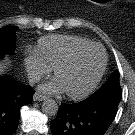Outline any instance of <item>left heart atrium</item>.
Here are the masks:
<instances>
[{
    "label": "left heart atrium",
    "instance_id": "left-heart-atrium-1",
    "mask_svg": "<svg viewBox=\"0 0 135 135\" xmlns=\"http://www.w3.org/2000/svg\"><path fill=\"white\" fill-rule=\"evenodd\" d=\"M39 90L45 94H61L65 92V88L57 77L40 85Z\"/></svg>",
    "mask_w": 135,
    "mask_h": 135
}]
</instances>
